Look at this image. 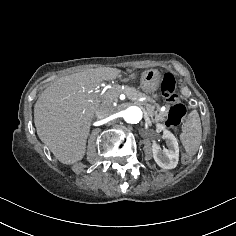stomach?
<instances>
[{
  "label": "stomach",
  "instance_id": "stomach-1",
  "mask_svg": "<svg viewBox=\"0 0 236 236\" xmlns=\"http://www.w3.org/2000/svg\"><path fill=\"white\" fill-rule=\"evenodd\" d=\"M161 75L158 70L150 69L142 73L141 88L150 94L152 102H159L161 99L158 89L160 86Z\"/></svg>",
  "mask_w": 236,
  "mask_h": 236
}]
</instances>
